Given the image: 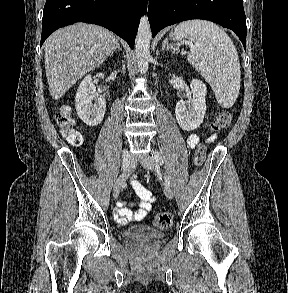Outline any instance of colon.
I'll return each mask as SVG.
<instances>
[{
    "label": "colon",
    "instance_id": "obj_1",
    "mask_svg": "<svg viewBox=\"0 0 288 293\" xmlns=\"http://www.w3.org/2000/svg\"><path fill=\"white\" fill-rule=\"evenodd\" d=\"M56 124L62 135L73 146H80L83 137L79 131L75 129L74 119L68 109H62L56 114ZM232 114L229 111L220 112L211 123V130L218 132L230 125ZM206 158V148L204 144H199L194 152L193 161L196 166H201ZM172 217L169 213L162 212L155 215L153 224L161 229L170 227Z\"/></svg>",
    "mask_w": 288,
    "mask_h": 293
}]
</instances>
